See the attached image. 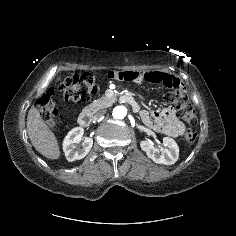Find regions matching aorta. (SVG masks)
<instances>
[{
	"label": "aorta",
	"mask_w": 236,
	"mask_h": 236,
	"mask_svg": "<svg viewBox=\"0 0 236 236\" xmlns=\"http://www.w3.org/2000/svg\"><path fill=\"white\" fill-rule=\"evenodd\" d=\"M128 110L123 105H118L113 109L112 115L115 119L123 120L127 117Z\"/></svg>",
	"instance_id": "1"
}]
</instances>
